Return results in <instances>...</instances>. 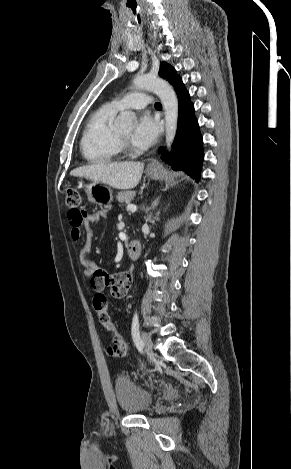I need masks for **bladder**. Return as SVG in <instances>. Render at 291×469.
<instances>
[{
	"instance_id": "bladder-1",
	"label": "bladder",
	"mask_w": 291,
	"mask_h": 469,
	"mask_svg": "<svg viewBox=\"0 0 291 469\" xmlns=\"http://www.w3.org/2000/svg\"><path fill=\"white\" fill-rule=\"evenodd\" d=\"M114 391L120 409L128 414L143 413L153 403L150 392L123 376L115 380Z\"/></svg>"
}]
</instances>
